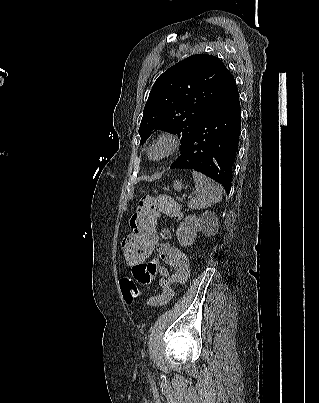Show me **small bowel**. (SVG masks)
Segmentation results:
<instances>
[{"instance_id": "obj_1", "label": "small bowel", "mask_w": 319, "mask_h": 403, "mask_svg": "<svg viewBox=\"0 0 319 403\" xmlns=\"http://www.w3.org/2000/svg\"><path fill=\"white\" fill-rule=\"evenodd\" d=\"M160 238L163 242L157 243V247L153 248V251L156 250L157 256L151 261V264L144 265L142 262H137L129 267V275L133 276V282L139 283L141 286L150 284L158 276L161 292L149 297L147 304L150 306L167 304L175 294L172 285L185 283L190 274L188 257L181 249L169 242L172 238L171 232L167 229L162 230ZM162 263L167 264L174 274H169Z\"/></svg>"}]
</instances>
